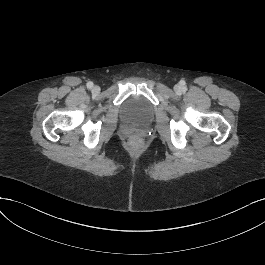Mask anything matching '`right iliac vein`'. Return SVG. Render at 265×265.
Segmentation results:
<instances>
[{
	"mask_svg": "<svg viewBox=\"0 0 265 265\" xmlns=\"http://www.w3.org/2000/svg\"><path fill=\"white\" fill-rule=\"evenodd\" d=\"M92 92H93L94 94L99 93V92H100V87H99V86H94L93 89H92Z\"/></svg>",
	"mask_w": 265,
	"mask_h": 265,
	"instance_id": "63e3f726",
	"label": "right iliac vein"
}]
</instances>
